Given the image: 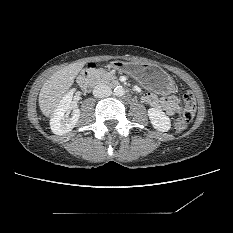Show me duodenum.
I'll list each match as a JSON object with an SVG mask.
<instances>
[{
  "instance_id": "1",
  "label": "duodenum",
  "mask_w": 233,
  "mask_h": 233,
  "mask_svg": "<svg viewBox=\"0 0 233 233\" xmlns=\"http://www.w3.org/2000/svg\"><path fill=\"white\" fill-rule=\"evenodd\" d=\"M93 69H86L84 70L80 77H79V83L84 89H91V87L94 85V79L92 77ZM121 82H118L120 84Z\"/></svg>"
}]
</instances>
